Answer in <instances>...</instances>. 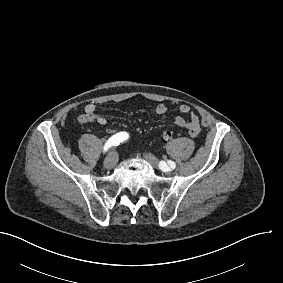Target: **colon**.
<instances>
[{"instance_id":"1","label":"colon","mask_w":283,"mask_h":283,"mask_svg":"<svg viewBox=\"0 0 283 283\" xmlns=\"http://www.w3.org/2000/svg\"><path fill=\"white\" fill-rule=\"evenodd\" d=\"M174 137V131L172 129L165 130L161 135V141L168 142Z\"/></svg>"}]
</instances>
